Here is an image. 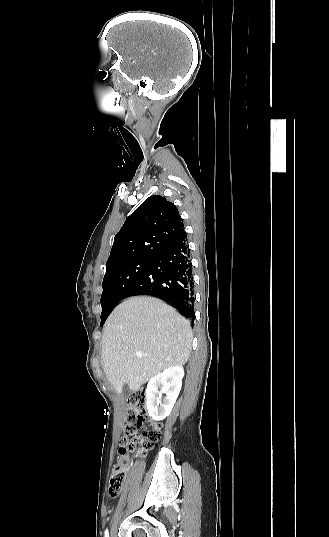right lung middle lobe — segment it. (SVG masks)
I'll use <instances>...</instances> for the list:
<instances>
[{
    "label": "right lung middle lobe",
    "instance_id": "1",
    "mask_svg": "<svg viewBox=\"0 0 329 537\" xmlns=\"http://www.w3.org/2000/svg\"><path fill=\"white\" fill-rule=\"evenodd\" d=\"M153 259H138L106 270L101 296V326L111 313L112 308L124 298L126 292L144 273Z\"/></svg>",
    "mask_w": 329,
    "mask_h": 537
}]
</instances>
